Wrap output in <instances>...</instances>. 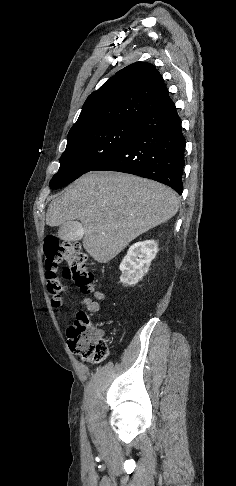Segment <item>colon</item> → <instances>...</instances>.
Returning <instances> with one entry per match:
<instances>
[{
    "instance_id": "1",
    "label": "colon",
    "mask_w": 236,
    "mask_h": 486,
    "mask_svg": "<svg viewBox=\"0 0 236 486\" xmlns=\"http://www.w3.org/2000/svg\"><path fill=\"white\" fill-rule=\"evenodd\" d=\"M45 279L47 290L54 307L62 304V292L65 285L58 275L61 263L65 262L64 277L74 282L83 293L93 290L94 275L88 269L87 256L76 243H60L49 237L44 245ZM68 345L72 352L83 361L99 363L108 354V345L102 332L95 328L84 311L77 313L67 332Z\"/></svg>"
}]
</instances>
